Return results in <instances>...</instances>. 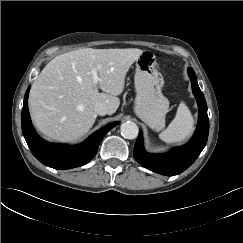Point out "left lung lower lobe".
<instances>
[{
  "instance_id": "0a47b994",
  "label": "left lung lower lobe",
  "mask_w": 243,
  "mask_h": 243,
  "mask_svg": "<svg viewBox=\"0 0 243 243\" xmlns=\"http://www.w3.org/2000/svg\"><path fill=\"white\" fill-rule=\"evenodd\" d=\"M188 73L199 107V122L193 138L186 145L174 148L166 154H150L144 150L142 132H140L134 146V158L140 165L166 176L180 174L190 167L207 143L209 119L206 101L198 86L195 73L191 68Z\"/></svg>"
}]
</instances>
